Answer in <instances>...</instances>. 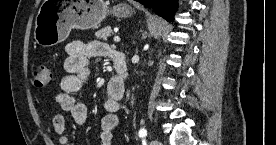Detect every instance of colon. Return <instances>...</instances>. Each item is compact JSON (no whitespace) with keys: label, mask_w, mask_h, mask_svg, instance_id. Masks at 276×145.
Returning <instances> with one entry per match:
<instances>
[{"label":"colon","mask_w":276,"mask_h":145,"mask_svg":"<svg viewBox=\"0 0 276 145\" xmlns=\"http://www.w3.org/2000/svg\"><path fill=\"white\" fill-rule=\"evenodd\" d=\"M33 79L36 87H45L51 81V72L46 66H36L33 70Z\"/></svg>","instance_id":"obj_1"}]
</instances>
